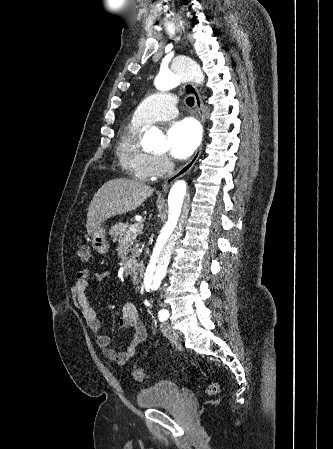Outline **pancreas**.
I'll return each mask as SVG.
<instances>
[{
	"label": "pancreas",
	"instance_id": "obj_1",
	"mask_svg": "<svg viewBox=\"0 0 333 449\" xmlns=\"http://www.w3.org/2000/svg\"><path fill=\"white\" fill-rule=\"evenodd\" d=\"M130 227H131V225H129L128 223L119 222V223L115 224L112 227L113 240L118 241L119 244L126 243L129 247L133 246L134 243L137 241V236L140 234L141 228L139 229L138 232L133 233L130 231ZM137 246H138V244H136V247ZM136 247L131 249V252H132V256L130 259L131 262L136 261V258L139 257L140 251Z\"/></svg>",
	"mask_w": 333,
	"mask_h": 449
}]
</instances>
